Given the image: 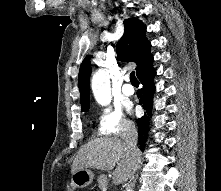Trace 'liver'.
I'll use <instances>...</instances> for the list:
<instances>
[{
    "mask_svg": "<svg viewBox=\"0 0 221 191\" xmlns=\"http://www.w3.org/2000/svg\"><path fill=\"white\" fill-rule=\"evenodd\" d=\"M139 161L129 153L126 143L118 138H97L85 144L75 157L71 173L83 168L113 170V183L132 178Z\"/></svg>",
    "mask_w": 221,
    "mask_h": 191,
    "instance_id": "1",
    "label": "liver"
}]
</instances>
